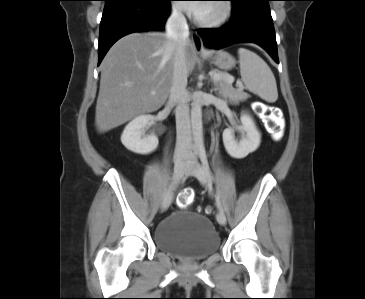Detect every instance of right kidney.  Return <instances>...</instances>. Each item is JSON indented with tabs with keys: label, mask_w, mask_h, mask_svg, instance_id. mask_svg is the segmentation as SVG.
Instances as JSON below:
<instances>
[{
	"label": "right kidney",
	"mask_w": 365,
	"mask_h": 299,
	"mask_svg": "<svg viewBox=\"0 0 365 299\" xmlns=\"http://www.w3.org/2000/svg\"><path fill=\"white\" fill-rule=\"evenodd\" d=\"M151 120L150 115H140L127 124L121 135V142L128 150L137 154H149L157 148V136L145 135L143 132Z\"/></svg>",
	"instance_id": "obj_1"
}]
</instances>
